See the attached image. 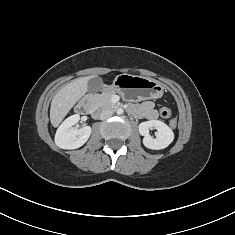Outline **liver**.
<instances>
[{
  "label": "liver",
  "instance_id": "liver-1",
  "mask_svg": "<svg viewBox=\"0 0 235 235\" xmlns=\"http://www.w3.org/2000/svg\"><path fill=\"white\" fill-rule=\"evenodd\" d=\"M92 76L80 77L63 86L53 97L50 106V121L58 127L72 107L88 91L87 84Z\"/></svg>",
  "mask_w": 235,
  "mask_h": 235
}]
</instances>
